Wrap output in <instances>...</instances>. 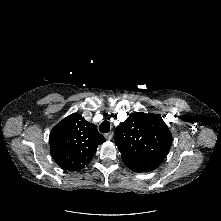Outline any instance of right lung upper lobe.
<instances>
[{
  "label": "right lung upper lobe",
  "mask_w": 221,
  "mask_h": 221,
  "mask_svg": "<svg viewBox=\"0 0 221 221\" xmlns=\"http://www.w3.org/2000/svg\"><path fill=\"white\" fill-rule=\"evenodd\" d=\"M49 142L51 154L58 165L68 171H78L90 162L105 138L94 124L74 113L52 129Z\"/></svg>",
  "instance_id": "obj_1"
}]
</instances>
